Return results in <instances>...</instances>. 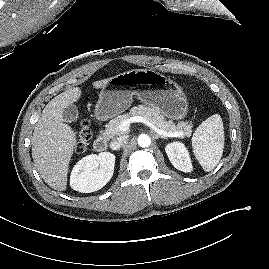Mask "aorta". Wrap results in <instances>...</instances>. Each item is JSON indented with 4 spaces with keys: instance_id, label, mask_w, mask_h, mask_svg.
Listing matches in <instances>:
<instances>
[{
    "instance_id": "obj_1",
    "label": "aorta",
    "mask_w": 269,
    "mask_h": 269,
    "mask_svg": "<svg viewBox=\"0 0 269 269\" xmlns=\"http://www.w3.org/2000/svg\"><path fill=\"white\" fill-rule=\"evenodd\" d=\"M150 144H151V138L148 135L141 134L138 137V145L140 147L146 148V147L150 146Z\"/></svg>"
}]
</instances>
